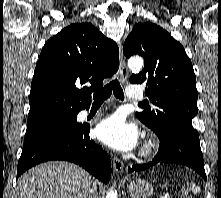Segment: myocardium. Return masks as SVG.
Returning <instances> with one entry per match:
<instances>
[{
	"instance_id": "myocardium-1",
	"label": "myocardium",
	"mask_w": 221,
	"mask_h": 198,
	"mask_svg": "<svg viewBox=\"0 0 221 198\" xmlns=\"http://www.w3.org/2000/svg\"><path fill=\"white\" fill-rule=\"evenodd\" d=\"M157 148V144L153 139H148L145 141V143L142 146V149L140 151L141 157H149L151 156Z\"/></svg>"
}]
</instances>
